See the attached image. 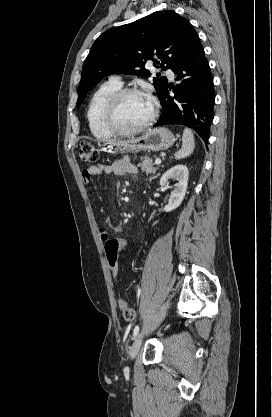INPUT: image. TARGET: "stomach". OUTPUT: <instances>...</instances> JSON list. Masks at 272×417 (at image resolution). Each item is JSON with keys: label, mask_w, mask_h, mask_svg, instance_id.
Wrapping results in <instances>:
<instances>
[{"label": "stomach", "mask_w": 272, "mask_h": 417, "mask_svg": "<svg viewBox=\"0 0 272 417\" xmlns=\"http://www.w3.org/2000/svg\"><path fill=\"white\" fill-rule=\"evenodd\" d=\"M174 142L175 137L171 131L164 127H158L148 129L139 137L105 143L103 150L110 154L137 151L157 152L167 150Z\"/></svg>", "instance_id": "0dacf381"}]
</instances>
